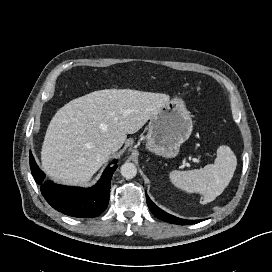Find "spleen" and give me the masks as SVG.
<instances>
[{
	"instance_id": "3e777b00",
	"label": "spleen",
	"mask_w": 272,
	"mask_h": 272,
	"mask_svg": "<svg viewBox=\"0 0 272 272\" xmlns=\"http://www.w3.org/2000/svg\"><path fill=\"white\" fill-rule=\"evenodd\" d=\"M237 166V159L230 147L222 145L217 149V158L213 164L203 169L189 171H171L169 178L179 189L189 193H200L204 203L213 201L231 181Z\"/></svg>"
}]
</instances>
